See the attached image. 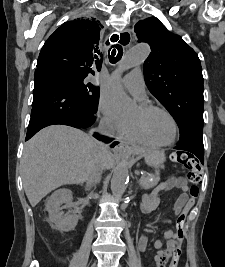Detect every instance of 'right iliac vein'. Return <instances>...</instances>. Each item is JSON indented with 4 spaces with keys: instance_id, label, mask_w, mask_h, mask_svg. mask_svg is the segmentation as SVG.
Returning <instances> with one entry per match:
<instances>
[{
    "instance_id": "right-iliac-vein-1",
    "label": "right iliac vein",
    "mask_w": 225,
    "mask_h": 267,
    "mask_svg": "<svg viewBox=\"0 0 225 267\" xmlns=\"http://www.w3.org/2000/svg\"><path fill=\"white\" fill-rule=\"evenodd\" d=\"M92 267H96V264H93V266Z\"/></svg>"
}]
</instances>
